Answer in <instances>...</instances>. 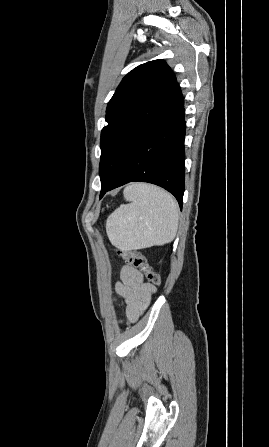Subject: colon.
Wrapping results in <instances>:
<instances>
[{"mask_svg":"<svg viewBox=\"0 0 269 447\" xmlns=\"http://www.w3.org/2000/svg\"><path fill=\"white\" fill-rule=\"evenodd\" d=\"M117 254L123 261L139 269L152 285L159 286L161 284L159 273L148 264L141 251L119 250Z\"/></svg>","mask_w":269,"mask_h":447,"instance_id":"5ec220e1","label":"colon"}]
</instances>
